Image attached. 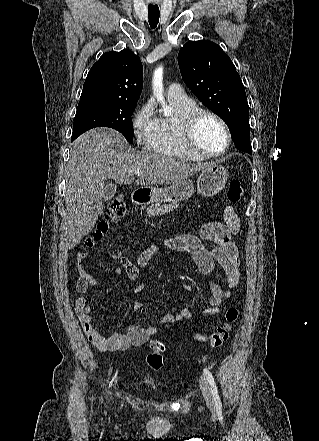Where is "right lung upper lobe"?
<instances>
[{"mask_svg": "<svg viewBox=\"0 0 319 441\" xmlns=\"http://www.w3.org/2000/svg\"><path fill=\"white\" fill-rule=\"evenodd\" d=\"M143 67L132 51L104 53L91 67L80 100L137 103L142 91Z\"/></svg>", "mask_w": 319, "mask_h": 441, "instance_id": "1", "label": "right lung upper lobe"}]
</instances>
